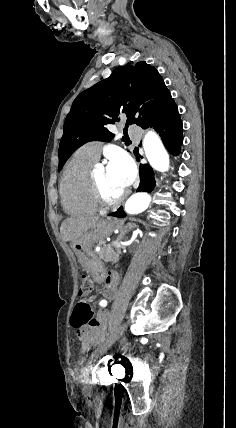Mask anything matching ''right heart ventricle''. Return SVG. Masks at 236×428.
<instances>
[{
    "instance_id": "1",
    "label": "right heart ventricle",
    "mask_w": 236,
    "mask_h": 428,
    "mask_svg": "<svg viewBox=\"0 0 236 428\" xmlns=\"http://www.w3.org/2000/svg\"><path fill=\"white\" fill-rule=\"evenodd\" d=\"M94 162L84 146L74 153L65 168L60 182V196L63 207L71 214H93L100 209L90 188V170Z\"/></svg>"
}]
</instances>
